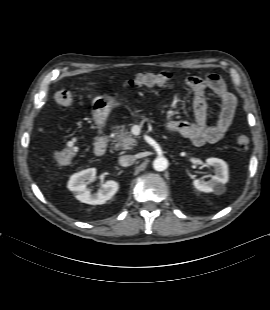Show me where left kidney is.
<instances>
[{"instance_id": "1", "label": "left kidney", "mask_w": 270, "mask_h": 310, "mask_svg": "<svg viewBox=\"0 0 270 310\" xmlns=\"http://www.w3.org/2000/svg\"><path fill=\"white\" fill-rule=\"evenodd\" d=\"M206 163L213 166L215 175L208 181L195 179L193 180V185L199 191L206 193L214 192L220 195L225 191L224 184H226L229 179L228 165L225 161L218 158H208L206 159Z\"/></svg>"}]
</instances>
